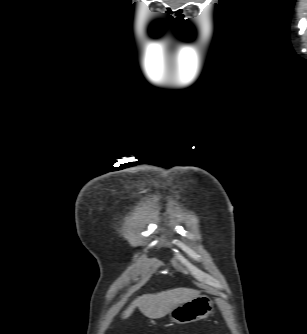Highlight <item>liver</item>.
<instances>
[{
    "label": "liver",
    "mask_w": 307,
    "mask_h": 334,
    "mask_svg": "<svg viewBox=\"0 0 307 334\" xmlns=\"http://www.w3.org/2000/svg\"><path fill=\"white\" fill-rule=\"evenodd\" d=\"M199 296V291L189 288H176L156 294H145L136 298L122 313L127 319L138 307L141 313L151 319H159L167 315L176 306Z\"/></svg>",
    "instance_id": "liver-1"
}]
</instances>
